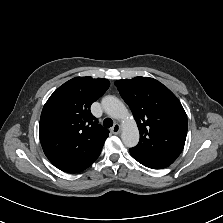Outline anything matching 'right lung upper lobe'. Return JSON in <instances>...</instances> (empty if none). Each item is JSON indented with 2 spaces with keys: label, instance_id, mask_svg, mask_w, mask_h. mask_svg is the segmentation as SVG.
I'll return each instance as SVG.
<instances>
[{
  "label": "right lung upper lobe",
  "instance_id": "cb5924a9",
  "mask_svg": "<svg viewBox=\"0 0 223 223\" xmlns=\"http://www.w3.org/2000/svg\"><path fill=\"white\" fill-rule=\"evenodd\" d=\"M109 86L107 79L75 77L47 100L40 117V142L58 169L77 173L98 158L109 131L97 124L90 106Z\"/></svg>",
  "mask_w": 223,
  "mask_h": 223
}]
</instances>
